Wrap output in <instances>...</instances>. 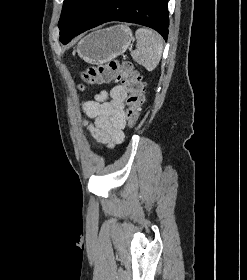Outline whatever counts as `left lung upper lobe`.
Returning <instances> with one entry per match:
<instances>
[{
  "label": "left lung upper lobe",
  "mask_w": 247,
  "mask_h": 280,
  "mask_svg": "<svg viewBox=\"0 0 247 280\" xmlns=\"http://www.w3.org/2000/svg\"><path fill=\"white\" fill-rule=\"evenodd\" d=\"M102 0H64L61 17L58 23L60 41L62 38L77 30L91 10Z\"/></svg>",
  "instance_id": "1"
}]
</instances>
